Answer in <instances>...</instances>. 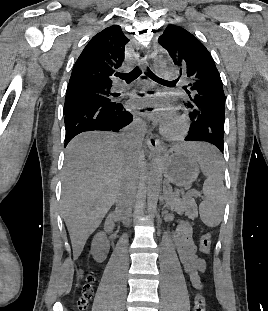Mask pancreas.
<instances>
[{
  "mask_svg": "<svg viewBox=\"0 0 268 311\" xmlns=\"http://www.w3.org/2000/svg\"><path fill=\"white\" fill-rule=\"evenodd\" d=\"M192 196L185 195L180 198L176 193L169 192L166 198L167 207L179 215L185 214L189 218H194L197 216V205Z\"/></svg>",
  "mask_w": 268,
  "mask_h": 311,
  "instance_id": "1",
  "label": "pancreas"
}]
</instances>
